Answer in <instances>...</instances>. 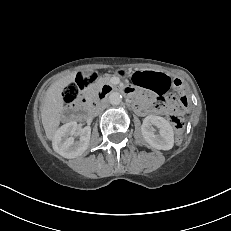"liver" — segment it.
Masks as SVG:
<instances>
[{"label":"liver","mask_w":231,"mask_h":231,"mask_svg":"<svg viewBox=\"0 0 231 231\" xmlns=\"http://www.w3.org/2000/svg\"><path fill=\"white\" fill-rule=\"evenodd\" d=\"M75 76V72L66 75L51 85L46 92L40 110L42 124L49 140H53L61 122L64 109L62 92L66 86L74 81Z\"/></svg>","instance_id":"1"}]
</instances>
